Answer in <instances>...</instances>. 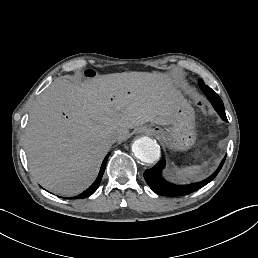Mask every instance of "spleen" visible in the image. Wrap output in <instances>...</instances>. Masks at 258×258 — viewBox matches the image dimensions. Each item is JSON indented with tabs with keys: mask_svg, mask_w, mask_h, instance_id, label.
<instances>
[{
	"mask_svg": "<svg viewBox=\"0 0 258 258\" xmlns=\"http://www.w3.org/2000/svg\"><path fill=\"white\" fill-rule=\"evenodd\" d=\"M205 165L207 164L206 162L204 163ZM202 170V167L199 165L195 166H190V167H185L182 169H177L176 170V175L178 176L179 179H187V178H193L197 176Z\"/></svg>",
	"mask_w": 258,
	"mask_h": 258,
	"instance_id": "3e777b00",
	"label": "spleen"
}]
</instances>
